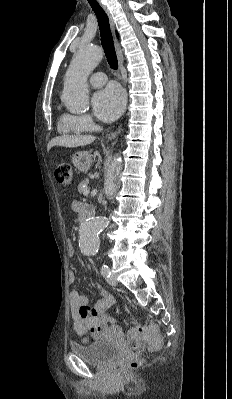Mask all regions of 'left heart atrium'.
I'll list each match as a JSON object with an SVG mask.
<instances>
[{
    "mask_svg": "<svg viewBox=\"0 0 232 399\" xmlns=\"http://www.w3.org/2000/svg\"><path fill=\"white\" fill-rule=\"evenodd\" d=\"M124 109V97L122 92L113 86H109L97 93L93 98V110L95 115L104 122H113Z\"/></svg>",
    "mask_w": 232,
    "mask_h": 399,
    "instance_id": "obj_1",
    "label": "left heart atrium"
}]
</instances>
